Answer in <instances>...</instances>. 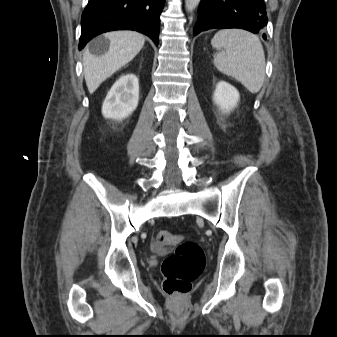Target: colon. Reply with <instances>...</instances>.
I'll return each mask as SVG.
<instances>
[{"label": "colon", "instance_id": "5ec220e1", "mask_svg": "<svg viewBox=\"0 0 337 337\" xmlns=\"http://www.w3.org/2000/svg\"><path fill=\"white\" fill-rule=\"evenodd\" d=\"M168 246H175V250L162 262V287L169 296H183L190 291L193 281L202 273L205 254L196 242L183 241L178 234L160 230L155 236L153 248L161 251Z\"/></svg>", "mask_w": 337, "mask_h": 337}]
</instances>
